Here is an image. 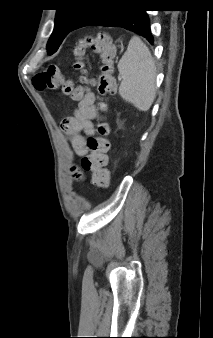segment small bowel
<instances>
[{
  "instance_id": "obj_1",
  "label": "small bowel",
  "mask_w": 213,
  "mask_h": 338,
  "mask_svg": "<svg viewBox=\"0 0 213 338\" xmlns=\"http://www.w3.org/2000/svg\"><path fill=\"white\" fill-rule=\"evenodd\" d=\"M96 112L94 95L86 93L78 102L74 112V119L78 123V128L75 131L63 128L74 153L79 157L86 155L88 152L86 136L94 134L92 120L95 118Z\"/></svg>"
}]
</instances>
